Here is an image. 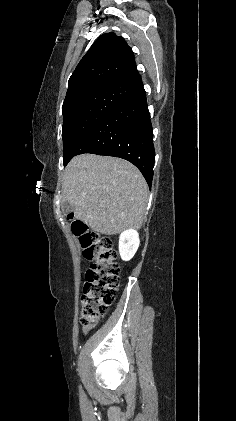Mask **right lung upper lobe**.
I'll return each instance as SVG.
<instances>
[{
    "label": "right lung upper lobe",
    "mask_w": 236,
    "mask_h": 421,
    "mask_svg": "<svg viewBox=\"0 0 236 421\" xmlns=\"http://www.w3.org/2000/svg\"><path fill=\"white\" fill-rule=\"evenodd\" d=\"M134 55L115 33L101 35L81 59L68 81L65 100L90 89L119 85L136 74Z\"/></svg>",
    "instance_id": "obj_1"
}]
</instances>
